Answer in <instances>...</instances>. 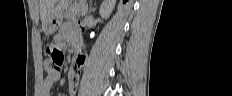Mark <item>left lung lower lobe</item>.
Masks as SVG:
<instances>
[{"mask_svg": "<svg viewBox=\"0 0 232 96\" xmlns=\"http://www.w3.org/2000/svg\"><path fill=\"white\" fill-rule=\"evenodd\" d=\"M127 0H123V2L125 3Z\"/></svg>", "mask_w": 232, "mask_h": 96, "instance_id": "left-lung-lower-lobe-1", "label": "left lung lower lobe"}]
</instances>
